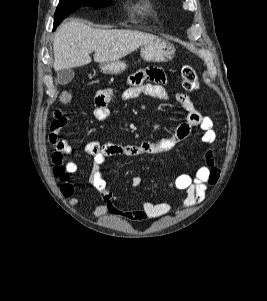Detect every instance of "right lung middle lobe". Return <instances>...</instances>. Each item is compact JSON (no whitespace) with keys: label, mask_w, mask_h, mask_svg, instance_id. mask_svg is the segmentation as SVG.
<instances>
[{"label":"right lung middle lobe","mask_w":267,"mask_h":301,"mask_svg":"<svg viewBox=\"0 0 267 301\" xmlns=\"http://www.w3.org/2000/svg\"><path fill=\"white\" fill-rule=\"evenodd\" d=\"M111 1L112 0H60L54 15V28L80 6L97 7L109 4Z\"/></svg>","instance_id":"dd1d6c3e"}]
</instances>
